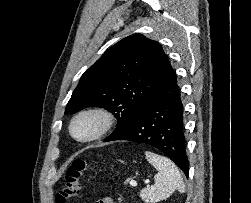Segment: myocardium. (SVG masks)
<instances>
[{
	"label": "myocardium",
	"mask_w": 251,
	"mask_h": 203,
	"mask_svg": "<svg viewBox=\"0 0 251 203\" xmlns=\"http://www.w3.org/2000/svg\"><path fill=\"white\" fill-rule=\"evenodd\" d=\"M84 117L94 118L97 122L95 130L85 137H79L74 132V126L78 120ZM115 124L114 114L104 107H89L77 112L71 119L69 124V132L72 138L81 143H87L98 140L106 135Z\"/></svg>",
	"instance_id": "f54148a6"
}]
</instances>
